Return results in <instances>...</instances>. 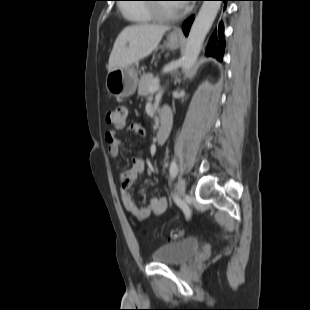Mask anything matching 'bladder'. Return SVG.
Wrapping results in <instances>:
<instances>
[{
	"label": "bladder",
	"instance_id": "31cf9c89",
	"mask_svg": "<svg viewBox=\"0 0 310 310\" xmlns=\"http://www.w3.org/2000/svg\"><path fill=\"white\" fill-rule=\"evenodd\" d=\"M199 248V241L187 238L160 246L152 253L156 263L180 265L193 257Z\"/></svg>",
	"mask_w": 310,
	"mask_h": 310
}]
</instances>
